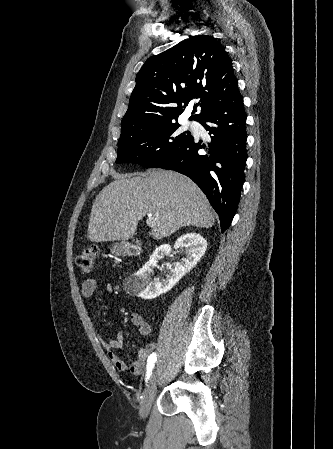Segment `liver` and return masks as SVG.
<instances>
[{
  "mask_svg": "<svg viewBox=\"0 0 333 449\" xmlns=\"http://www.w3.org/2000/svg\"><path fill=\"white\" fill-rule=\"evenodd\" d=\"M146 214L152 215L147 224L154 239L184 226L210 228L215 223L209 201L190 178L153 169L120 176L102 189L92 205L88 238L92 242L126 241Z\"/></svg>",
  "mask_w": 333,
  "mask_h": 449,
  "instance_id": "liver-1",
  "label": "liver"
}]
</instances>
